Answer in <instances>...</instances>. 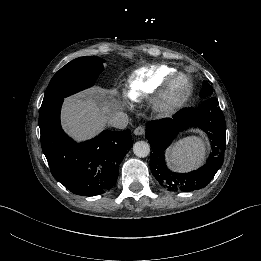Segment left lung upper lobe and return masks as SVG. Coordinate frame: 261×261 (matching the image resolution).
<instances>
[{"mask_svg": "<svg viewBox=\"0 0 261 261\" xmlns=\"http://www.w3.org/2000/svg\"><path fill=\"white\" fill-rule=\"evenodd\" d=\"M212 91H213L212 87L206 81H204L202 90L200 92V96L209 97L212 95Z\"/></svg>", "mask_w": 261, "mask_h": 261, "instance_id": "obj_1", "label": "left lung upper lobe"}]
</instances>
